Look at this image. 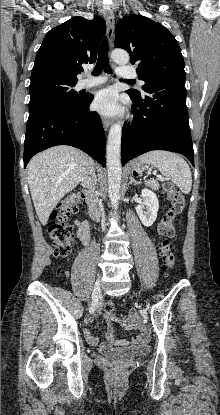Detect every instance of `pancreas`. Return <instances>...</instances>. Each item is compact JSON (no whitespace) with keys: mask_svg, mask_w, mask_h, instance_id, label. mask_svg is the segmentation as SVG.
I'll use <instances>...</instances> for the list:
<instances>
[{"mask_svg":"<svg viewBox=\"0 0 220 415\" xmlns=\"http://www.w3.org/2000/svg\"><path fill=\"white\" fill-rule=\"evenodd\" d=\"M145 184L149 187H151L153 190L159 189V183L156 180H147L145 181Z\"/></svg>","mask_w":220,"mask_h":415,"instance_id":"pancreas-1","label":"pancreas"}]
</instances>
